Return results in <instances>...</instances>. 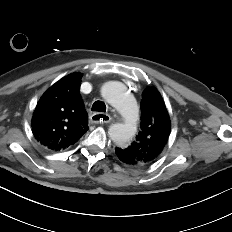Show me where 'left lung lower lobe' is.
I'll return each mask as SVG.
<instances>
[{
  "mask_svg": "<svg viewBox=\"0 0 232 232\" xmlns=\"http://www.w3.org/2000/svg\"><path fill=\"white\" fill-rule=\"evenodd\" d=\"M115 153H116L117 158H118L121 162H123L124 164L129 165V166H132V165H133L134 161H133L129 156H127L125 153H123V152L120 150V148L117 147V148L115 149Z\"/></svg>",
  "mask_w": 232,
  "mask_h": 232,
  "instance_id": "0a47b994",
  "label": "left lung lower lobe"
}]
</instances>
